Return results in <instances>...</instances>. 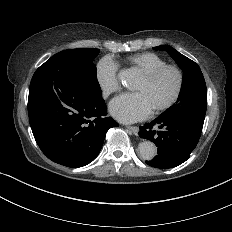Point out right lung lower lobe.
<instances>
[{
	"label": "right lung lower lobe",
	"instance_id": "98d812e1",
	"mask_svg": "<svg viewBox=\"0 0 232 232\" xmlns=\"http://www.w3.org/2000/svg\"><path fill=\"white\" fill-rule=\"evenodd\" d=\"M29 122L42 152L53 162L77 168L99 154L108 129L101 91L77 64L47 60L33 75L28 98Z\"/></svg>",
	"mask_w": 232,
	"mask_h": 232
}]
</instances>
